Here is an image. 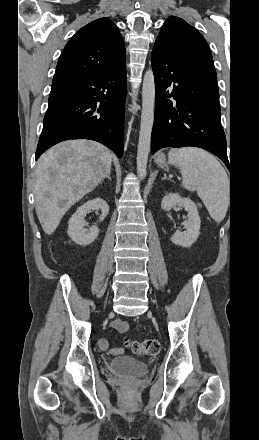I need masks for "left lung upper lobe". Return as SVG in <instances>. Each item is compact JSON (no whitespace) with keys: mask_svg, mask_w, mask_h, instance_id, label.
<instances>
[{"mask_svg":"<svg viewBox=\"0 0 259 440\" xmlns=\"http://www.w3.org/2000/svg\"><path fill=\"white\" fill-rule=\"evenodd\" d=\"M154 47L181 58L208 62L213 65L210 48L204 37L179 17H169L162 26Z\"/></svg>","mask_w":259,"mask_h":440,"instance_id":"1","label":"left lung upper lobe"}]
</instances>
